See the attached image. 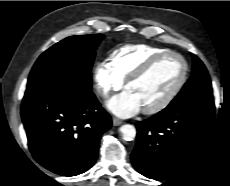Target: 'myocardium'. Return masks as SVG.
<instances>
[{"label":"myocardium","instance_id":"1","mask_svg":"<svg viewBox=\"0 0 230 186\" xmlns=\"http://www.w3.org/2000/svg\"><path fill=\"white\" fill-rule=\"evenodd\" d=\"M168 56L176 57L182 62L183 72H182L181 78L178 81V83L174 86V88L161 101H159L157 104L149 108H144L143 112L145 114H148V115L156 114L164 110L166 107H168L173 102V100L177 97V95L180 93L185 83L187 82L188 75H189L188 62L181 54L175 51H170V50L164 51V52H161L149 58L140 68H138L125 81V88H127L129 84L144 77L155 66L156 63H158L160 60Z\"/></svg>","mask_w":230,"mask_h":186}]
</instances>
